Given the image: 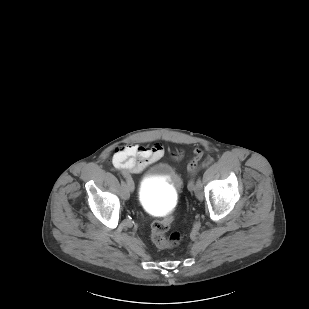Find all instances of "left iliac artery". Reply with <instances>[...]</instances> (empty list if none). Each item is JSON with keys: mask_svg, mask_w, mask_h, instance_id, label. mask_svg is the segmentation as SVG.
Wrapping results in <instances>:
<instances>
[{"mask_svg": "<svg viewBox=\"0 0 309 309\" xmlns=\"http://www.w3.org/2000/svg\"><path fill=\"white\" fill-rule=\"evenodd\" d=\"M205 165H206V163H204L202 166L204 167ZM190 183H192L193 186H194V181H193V180H191ZM195 187H196V188H201V189H202V183H201V180H200V179L197 180Z\"/></svg>", "mask_w": 309, "mask_h": 309, "instance_id": "left-iliac-artery-1", "label": "left iliac artery"}]
</instances>
